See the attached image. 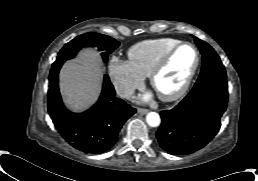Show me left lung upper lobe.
<instances>
[{
	"mask_svg": "<svg viewBox=\"0 0 258 181\" xmlns=\"http://www.w3.org/2000/svg\"><path fill=\"white\" fill-rule=\"evenodd\" d=\"M195 38V43L202 54V69L196 83L210 77L226 78V71L215 50L205 41Z\"/></svg>",
	"mask_w": 258,
	"mask_h": 181,
	"instance_id": "left-lung-upper-lobe-1",
	"label": "left lung upper lobe"
}]
</instances>
